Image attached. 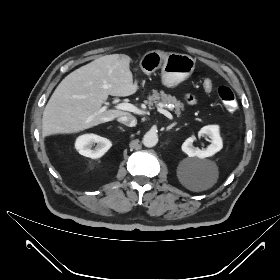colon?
Wrapping results in <instances>:
<instances>
[{
    "label": "colon",
    "instance_id": "5ec220e1",
    "mask_svg": "<svg viewBox=\"0 0 280 280\" xmlns=\"http://www.w3.org/2000/svg\"><path fill=\"white\" fill-rule=\"evenodd\" d=\"M204 87L207 90H210L212 88V83L209 80L204 81ZM218 95L225 106V108L230 111L234 112L237 109V100L235 97L234 92L227 86H220L218 88Z\"/></svg>",
    "mask_w": 280,
    "mask_h": 280
}]
</instances>
